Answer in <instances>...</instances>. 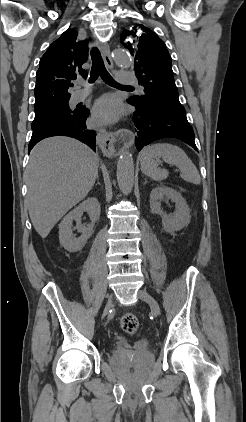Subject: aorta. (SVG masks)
Segmentation results:
<instances>
[{
    "mask_svg": "<svg viewBox=\"0 0 246 422\" xmlns=\"http://www.w3.org/2000/svg\"><path fill=\"white\" fill-rule=\"evenodd\" d=\"M113 59L118 66L123 68L132 65L131 56L124 50H115ZM117 182L122 192H131L134 184V161L132 154L126 149L122 150L118 159Z\"/></svg>",
    "mask_w": 246,
    "mask_h": 422,
    "instance_id": "aorta-1",
    "label": "aorta"
}]
</instances>
